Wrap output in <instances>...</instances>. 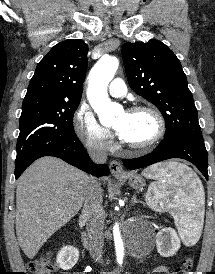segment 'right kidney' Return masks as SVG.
Returning a JSON list of instances; mask_svg holds the SVG:
<instances>
[{"label":"right kidney","mask_w":215,"mask_h":274,"mask_svg":"<svg viewBox=\"0 0 215 274\" xmlns=\"http://www.w3.org/2000/svg\"><path fill=\"white\" fill-rule=\"evenodd\" d=\"M79 251L72 246H64L57 255V265L63 270L71 269L78 261Z\"/></svg>","instance_id":"obj_1"}]
</instances>
